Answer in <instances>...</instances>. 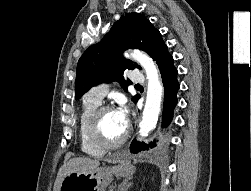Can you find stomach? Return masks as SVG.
<instances>
[{"mask_svg": "<svg viewBox=\"0 0 251 191\" xmlns=\"http://www.w3.org/2000/svg\"><path fill=\"white\" fill-rule=\"evenodd\" d=\"M117 165L96 167L87 173H67L59 187V191H105V187L116 177H131L136 167L130 163L126 155H115ZM109 161V159H105ZM112 163V161H109Z\"/></svg>", "mask_w": 251, "mask_h": 191, "instance_id": "obj_1", "label": "stomach"}]
</instances>
